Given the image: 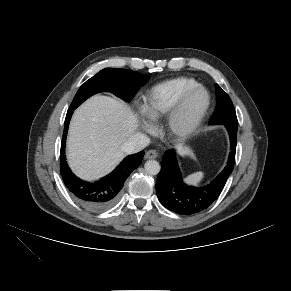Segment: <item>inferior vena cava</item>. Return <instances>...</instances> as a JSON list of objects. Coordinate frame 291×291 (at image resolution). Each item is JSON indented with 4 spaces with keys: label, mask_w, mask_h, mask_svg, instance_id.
Segmentation results:
<instances>
[{
    "label": "inferior vena cava",
    "mask_w": 291,
    "mask_h": 291,
    "mask_svg": "<svg viewBox=\"0 0 291 291\" xmlns=\"http://www.w3.org/2000/svg\"><path fill=\"white\" fill-rule=\"evenodd\" d=\"M150 143V139L140 132L131 135L127 141L122 145V150L126 154H133L141 151Z\"/></svg>",
    "instance_id": "602c4592"
}]
</instances>
